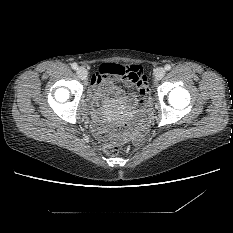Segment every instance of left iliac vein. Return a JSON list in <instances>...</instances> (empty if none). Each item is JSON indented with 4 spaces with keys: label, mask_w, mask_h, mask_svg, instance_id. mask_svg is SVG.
Segmentation results:
<instances>
[{
    "label": "left iliac vein",
    "mask_w": 233,
    "mask_h": 233,
    "mask_svg": "<svg viewBox=\"0 0 233 233\" xmlns=\"http://www.w3.org/2000/svg\"><path fill=\"white\" fill-rule=\"evenodd\" d=\"M164 75H165V69L163 67H159L156 69L155 77L157 80L162 79Z\"/></svg>",
    "instance_id": "obj_1"
}]
</instances>
